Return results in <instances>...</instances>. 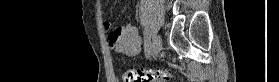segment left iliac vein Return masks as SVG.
<instances>
[{
  "label": "left iliac vein",
  "mask_w": 279,
  "mask_h": 82,
  "mask_svg": "<svg viewBox=\"0 0 279 82\" xmlns=\"http://www.w3.org/2000/svg\"><path fill=\"white\" fill-rule=\"evenodd\" d=\"M162 50V39L159 35H155L152 41V54L157 57Z\"/></svg>",
  "instance_id": "4c4485c4"
}]
</instances>
